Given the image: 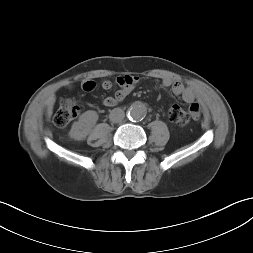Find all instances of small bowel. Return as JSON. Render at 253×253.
<instances>
[{
    "mask_svg": "<svg viewBox=\"0 0 253 253\" xmlns=\"http://www.w3.org/2000/svg\"><path fill=\"white\" fill-rule=\"evenodd\" d=\"M138 77L124 75L117 78V83L120 88L115 92L113 96L105 97L102 101L104 106L113 107L119 102L123 101L126 96L133 89V86L138 82ZM162 85L165 88H170L172 93L180 97L185 103L189 104L185 108V114L188 117H193L198 119L201 113V102L192 87L184 86L180 82H175L169 78H165L162 81ZM104 90H110L112 88V82L104 79L101 83ZM96 83L92 80H84L82 83V89L84 91L90 92L94 90Z\"/></svg>",
    "mask_w": 253,
    "mask_h": 253,
    "instance_id": "obj_1",
    "label": "small bowel"
}]
</instances>
